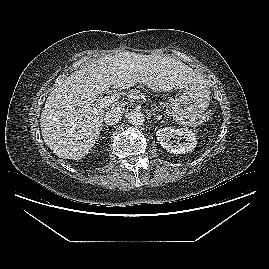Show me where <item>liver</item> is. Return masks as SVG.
Returning <instances> with one entry per match:
<instances>
[{"mask_svg": "<svg viewBox=\"0 0 269 269\" xmlns=\"http://www.w3.org/2000/svg\"><path fill=\"white\" fill-rule=\"evenodd\" d=\"M137 82L154 92L204 84L192 68L168 56L125 51L106 55L69 75L50 93L40 119L46 145L59 158H83L99 138L105 112L121 105L118 99L94 112L97 97L109 88L123 90Z\"/></svg>", "mask_w": 269, "mask_h": 269, "instance_id": "obj_1", "label": "liver"}]
</instances>
